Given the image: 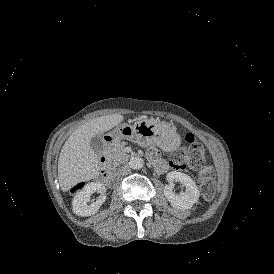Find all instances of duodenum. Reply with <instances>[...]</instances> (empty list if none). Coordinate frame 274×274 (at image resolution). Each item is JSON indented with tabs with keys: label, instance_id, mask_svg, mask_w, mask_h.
Segmentation results:
<instances>
[{
	"label": "duodenum",
	"instance_id": "1",
	"mask_svg": "<svg viewBox=\"0 0 274 274\" xmlns=\"http://www.w3.org/2000/svg\"><path fill=\"white\" fill-rule=\"evenodd\" d=\"M115 141V138L112 136L105 138V144L109 145ZM100 164L103 168L104 174L107 178L111 179L115 177V170L111 166V164L108 162L107 157L104 153H101L99 156ZM155 169L159 172H163L166 170V166L162 161H155L153 163Z\"/></svg>",
	"mask_w": 274,
	"mask_h": 274
}]
</instances>
